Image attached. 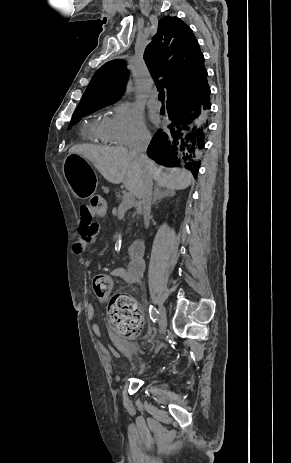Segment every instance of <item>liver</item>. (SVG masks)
Returning a JSON list of instances; mask_svg holds the SVG:
<instances>
[{
  "label": "liver",
  "mask_w": 291,
  "mask_h": 463,
  "mask_svg": "<svg viewBox=\"0 0 291 463\" xmlns=\"http://www.w3.org/2000/svg\"><path fill=\"white\" fill-rule=\"evenodd\" d=\"M69 153L88 159L113 184L123 183L136 198H141L144 181V166L124 147H103L90 144L75 145ZM152 179L158 186L171 190H183L194 182L192 174L184 169H170L163 172L162 167L149 159Z\"/></svg>",
  "instance_id": "6515ba94"
}]
</instances>
